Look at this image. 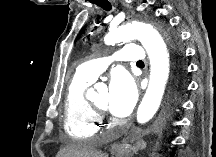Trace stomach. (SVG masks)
Here are the masks:
<instances>
[{"label": "stomach", "instance_id": "obj_1", "mask_svg": "<svg viewBox=\"0 0 216 157\" xmlns=\"http://www.w3.org/2000/svg\"><path fill=\"white\" fill-rule=\"evenodd\" d=\"M145 147V143L142 140H138L134 142V140L130 144H126L124 150L122 153H125L127 155H130L140 149H143Z\"/></svg>", "mask_w": 216, "mask_h": 157}]
</instances>
